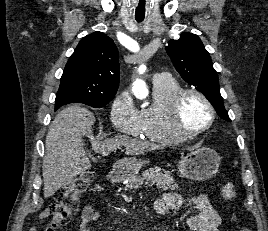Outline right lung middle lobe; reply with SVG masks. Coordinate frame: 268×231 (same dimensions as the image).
<instances>
[{
  "label": "right lung middle lobe",
  "mask_w": 268,
  "mask_h": 231,
  "mask_svg": "<svg viewBox=\"0 0 268 231\" xmlns=\"http://www.w3.org/2000/svg\"><path fill=\"white\" fill-rule=\"evenodd\" d=\"M113 98L110 99H104V100H97V101H88V102H82L84 104H87L89 106H92L94 108H101L104 107L105 105H107ZM64 104H68V103H57V101H55V110H57L59 107H61Z\"/></svg>",
  "instance_id": "1"
}]
</instances>
